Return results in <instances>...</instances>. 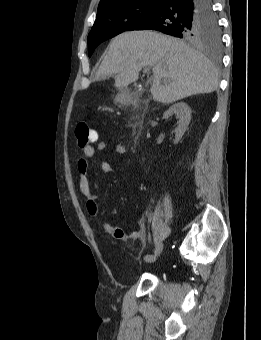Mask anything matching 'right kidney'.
Wrapping results in <instances>:
<instances>
[{"mask_svg": "<svg viewBox=\"0 0 261 340\" xmlns=\"http://www.w3.org/2000/svg\"><path fill=\"white\" fill-rule=\"evenodd\" d=\"M173 114L176 115V117L179 119L178 126L175 129V139L174 144H177L184 133L186 132L188 125L191 120V109L190 107L184 103L179 102L174 105H172L164 114L163 117L165 119L171 117Z\"/></svg>", "mask_w": 261, "mask_h": 340, "instance_id": "ca27d5eb", "label": "right kidney"}]
</instances>
